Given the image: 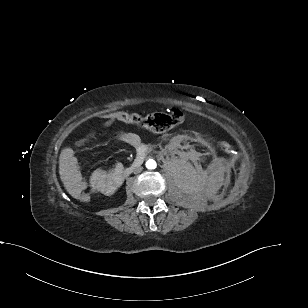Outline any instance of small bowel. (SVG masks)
Here are the masks:
<instances>
[{"label": "small bowel", "mask_w": 308, "mask_h": 308, "mask_svg": "<svg viewBox=\"0 0 308 308\" xmlns=\"http://www.w3.org/2000/svg\"><path fill=\"white\" fill-rule=\"evenodd\" d=\"M113 118L108 119L105 125H110ZM118 138L135 148L143 146L140 136L134 132H121ZM60 168L64 179L67 181L69 192L75 195L81 191H90L93 193L112 194L120 185L123 166L117 164L111 170H95L89 181H86L80 171V166L74 152L70 148L61 151L59 157Z\"/></svg>", "instance_id": "obj_1"}]
</instances>
